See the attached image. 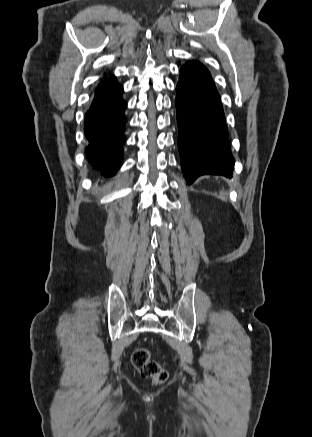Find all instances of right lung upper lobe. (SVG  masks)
Listing matches in <instances>:
<instances>
[{
    "label": "right lung upper lobe",
    "mask_w": 312,
    "mask_h": 437,
    "mask_svg": "<svg viewBox=\"0 0 312 437\" xmlns=\"http://www.w3.org/2000/svg\"><path fill=\"white\" fill-rule=\"evenodd\" d=\"M111 77H112V76H111ZM108 79H109V78H108ZM108 79L105 77L104 80H103L102 82L107 81ZM102 82H101V83H102Z\"/></svg>",
    "instance_id": "cb5924a9"
}]
</instances>
